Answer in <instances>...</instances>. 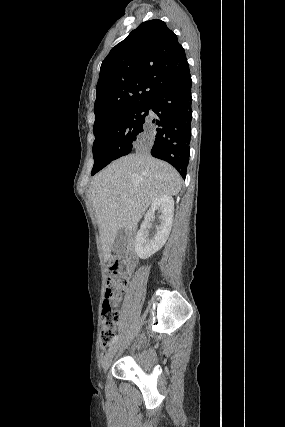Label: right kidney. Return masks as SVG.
<instances>
[{
	"label": "right kidney",
	"mask_w": 285,
	"mask_h": 427,
	"mask_svg": "<svg viewBox=\"0 0 285 427\" xmlns=\"http://www.w3.org/2000/svg\"><path fill=\"white\" fill-rule=\"evenodd\" d=\"M161 213L159 225L155 237L152 240L148 239L146 228L151 220L155 219V212ZM174 215V200L169 195H163L157 198L150 206L145 215V220L141 224V229L135 238V251L141 259H147L166 243L173 222Z\"/></svg>",
	"instance_id": "1"
}]
</instances>
